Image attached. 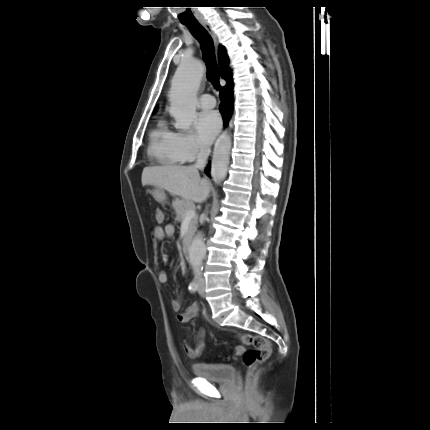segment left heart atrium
Listing matches in <instances>:
<instances>
[{
  "mask_svg": "<svg viewBox=\"0 0 430 430\" xmlns=\"http://www.w3.org/2000/svg\"><path fill=\"white\" fill-rule=\"evenodd\" d=\"M198 140L210 145L221 128V118L216 111H205L198 115L195 124Z\"/></svg>",
  "mask_w": 430,
  "mask_h": 430,
  "instance_id": "39dd6f15",
  "label": "left heart atrium"
}]
</instances>
